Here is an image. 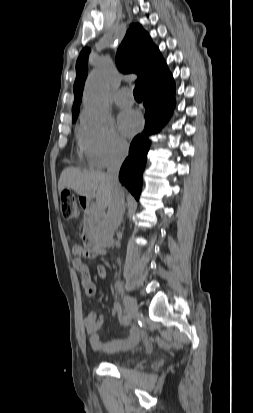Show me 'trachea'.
Listing matches in <instances>:
<instances>
[{
  "mask_svg": "<svg viewBox=\"0 0 253 413\" xmlns=\"http://www.w3.org/2000/svg\"><path fill=\"white\" fill-rule=\"evenodd\" d=\"M133 94L136 99H142V86L140 84L135 86Z\"/></svg>",
  "mask_w": 253,
  "mask_h": 413,
  "instance_id": "trachea-1",
  "label": "trachea"
}]
</instances>
